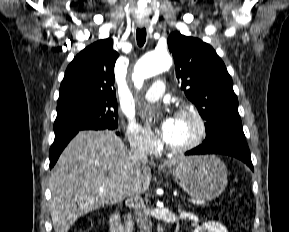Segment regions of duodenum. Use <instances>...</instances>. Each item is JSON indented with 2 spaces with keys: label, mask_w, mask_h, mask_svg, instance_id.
<instances>
[{
  "label": "duodenum",
  "mask_w": 289,
  "mask_h": 232,
  "mask_svg": "<svg viewBox=\"0 0 289 232\" xmlns=\"http://www.w3.org/2000/svg\"><path fill=\"white\" fill-rule=\"evenodd\" d=\"M110 231L111 232H126L122 222H121V215L119 211H115L110 216Z\"/></svg>",
  "instance_id": "1"
}]
</instances>
